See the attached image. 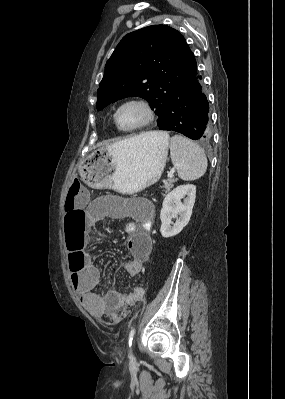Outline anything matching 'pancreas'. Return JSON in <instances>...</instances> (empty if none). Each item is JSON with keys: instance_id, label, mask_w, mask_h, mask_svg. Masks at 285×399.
<instances>
[{"instance_id": "cf45deb5", "label": "pancreas", "mask_w": 285, "mask_h": 399, "mask_svg": "<svg viewBox=\"0 0 285 399\" xmlns=\"http://www.w3.org/2000/svg\"><path fill=\"white\" fill-rule=\"evenodd\" d=\"M175 181L176 179H168L167 181H165L163 185L164 191L169 192L170 189L173 187V183Z\"/></svg>"}]
</instances>
